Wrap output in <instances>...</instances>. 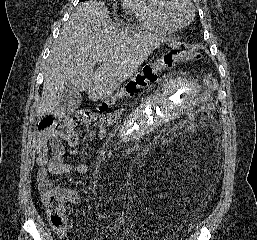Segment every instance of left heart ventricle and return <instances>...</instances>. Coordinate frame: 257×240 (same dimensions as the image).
Returning <instances> with one entry per match:
<instances>
[{"label": "left heart ventricle", "mask_w": 257, "mask_h": 240, "mask_svg": "<svg viewBox=\"0 0 257 240\" xmlns=\"http://www.w3.org/2000/svg\"><path fill=\"white\" fill-rule=\"evenodd\" d=\"M188 11V7L184 4H179L176 7V13L181 19H185L187 17Z\"/></svg>", "instance_id": "b2bd125f"}]
</instances>
